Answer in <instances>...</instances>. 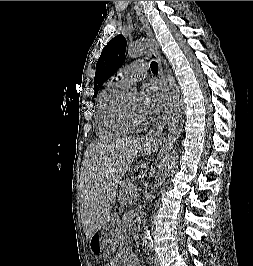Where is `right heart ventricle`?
<instances>
[{
  "label": "right heart ventricle",
  "instance_id": "e07e8e85",
  "mask_svg": "<svg viewBox=\"0 0 253 266\" xmlns=\"http://www.w3.org/2000/svg\"><path fill=\"white\" fill-rule=\"evenodd\" d=\"M127 86L116 78L109 81L99 95L95 123L100 138L112 139L129 133L116 117V106L125 93Z\"/></svg>",
  "mask_w": 253,
  "mask_h": 266
}]
</instances>
